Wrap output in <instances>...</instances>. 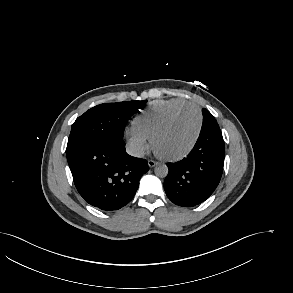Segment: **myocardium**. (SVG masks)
I'll use <instances>...</instances> for the list:
<instances>
[{
	"label": "myocardium",
	"instance_id": "myocardium-1",
	"mask_svg": "<svg viewBox=\"0 0 293 293\" xmlns=\"http://www.w3.org/2000/svg\"><path fill=\"white\" fill-rule=\"evenodd\" d=\"M188 108L194 109L197 112L198 118H199L198 128H197L196 134L194 136V139L192 140L190 145L184 151H182L181 153L176 154V155L170 156V155H164V154L158 152L155 148V144H156L158 137L169 127L171 122L174 120V118L179 113H181L182 111H184ZM203 122H204L203 113H202L201 108L198 105L193 104V103H189V104L182 105V106L176 108L165 118V120L161 123V125L155 130V132L151 136V144H152L153 149L155 150V152L157 153V155L160 158H162L166 161L174 162V161H179V160L187 157L193 151V149L195 148V146L200 138L202 128H203Z\"/></svg>",
	"mask_w": 293,
	"mask_h": 293
}]
</instances>
